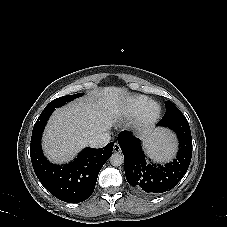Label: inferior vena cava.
<instances>
[{"mask_svg": "<svg viewBox=\"0 0 227 227\" xmlns=\"http://www.w3.org/2000/svg\"><path fill=\"white\" fill-rule=\"evenodd\" d=\"M111 136L108 132H101L94 135L88 141V144L92 148H102L110 142Z\"/></svg>", "mask_w": 227, "mask_h": 227, "instance_id": "inferior-vena-cava-1", "label": "inferior vena cava"}]
</instances>
